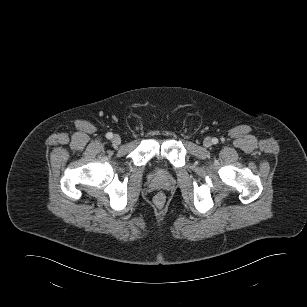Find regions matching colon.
I'll return each instance as SVG.
<instances>
[{"label":"colon","mask_w":307,"mask_h":307,"mask_svg":"<svg viewBox=\"0 0 307 307\" xmlns=\"http://www.w3.org/2000/svg\"><path fill=\"white\" fill-rule=\"evenodd\" d=\"M165 200V196L161 193H159L157 196H156V202L159 203V204H162Z\"/></svg>","instance_id":"colon-1"}]
</instances>
